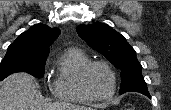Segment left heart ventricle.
I'll use <instances>...</instances> for the list:
<instances>
[{
	"mask_svg": "<svg viewBox=\"0 0 171 110\" xmlns=\"http://www.w3.org/2000/svg\"><path fill=\"white\" fill-rule=\"evenodd\" d=\"M91 92L96 96H106L112 89V79L108 71L102 66H95L87 77Z\"/></svg>",
	"mask_w": 171,
	"mask_h": 110,
	"instance_id": "b2bd125f",
	"label": "left heart ventricle"
}]
</instances>
